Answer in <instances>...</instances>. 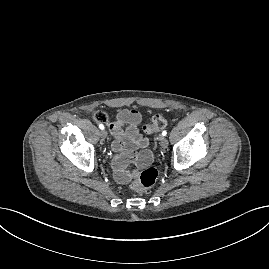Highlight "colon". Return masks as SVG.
Segmentation results:
<instances>
[{
    "instance_id": "1",
    "label": "colon",
    "mask_w": 269,
    "mask_h": 269,
    "mask_svg": "<svg viewBox=\"0 0 269 269\" xmlns=\"http://www.w3.org/2000/svg\"><path fill=\"white\" fill-rule=\"evenodd\" d=\"M94 119L98 122H107L108 117L105 112L97 111L94 114ZM167 126V120L164 116L156 114L152 117L151 122L144 126V131L147 134L155 133ZM158 177V172L153 167L145 168L133 183L132 187L135 190H144L152 187Z\"/></svg>"
}]
</instances>
